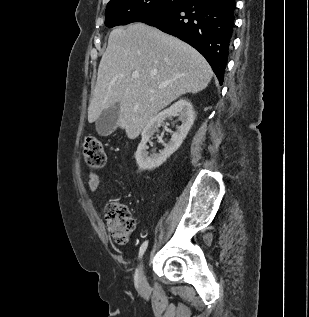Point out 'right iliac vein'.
<instances>
[{"instance_id": "1", "label": "right iliac vein", "mask_w": 309, "mask_h": 317, "mask_svg": "<svg viewBox=\"0 0 309 317\" xmlns=\"http://www.w3.org/2000/svg\"><path fill=\"white\" fill-rule=\"evenodd\" d=\"M139 288L141 291H145L148 287L147 283V278H146V273H145V263L144 260H142L140 264V269H139Z\"/></svg>"}]
</instances>
